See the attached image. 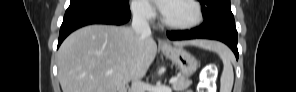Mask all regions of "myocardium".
Wrapping results in <instances>:
<instances>
[{"label":"myocardium","mask_w":296,"mask_h":92,"mask_svg":"<svg viewBox=\"0 0 296 92\" xmlns=\"http://www.w3.org/2000/svg\"><path fill=\"white\" fill-rule=\"evenodd\" d=\"M186 2H189L195 10V19L190 22V23H186V24H176V23H171L169 22L165 16L162 17V23L164 26H166L167 28L170 29H174V30H189V29H193L196 28L197 26H199L204 18V14H203V9L200 5L199 2L195 1V0H184Z\"/></svg>","instance_id":"f54148a6"}]
</instances>
